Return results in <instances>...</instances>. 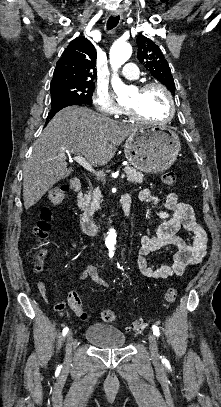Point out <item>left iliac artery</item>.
Returning <instances> with one entry per match:
<instances>
[{"mask_svg": "<svg viewBox=\"0 0 221 407\" xmlns=\"http://www.w3.org/2000/svg\"><path fill=\"white\" fill-rule=\"evenodd\" d=\"M152 329H153V333H154V335H156V336H159V328L156 326V325H153L152 326ZM166 361V359L165 358H163L162 359V362H165Z\"/></svg>", "mask_w": 221, "mask_h": 407, "instance_id": "obj_1", "label": "left iliac artery"}]
</instances>
